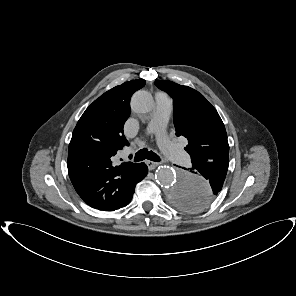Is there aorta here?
Here are the masks:
<instances>
[{
    "instance_id": "obj_1",
    "label": "aorta",
    "mask_w": 296,
    "mask_h": 296,
    "mask_svg": "<svg viewBox=\"0 0 296 296\" xmlns=\"http://www.w3.org/2000/svg\"><path fill=\"white\" fill-rule=\"evenodd\" d=\"M131 107L136 113L148 114L154 108L153 97L147 91H137L132 96ZM155 176L168 200L187 212H202L213 201V186L200 173L190 172L184 168L171 169L161 166L156 170Z\"/></svg>"
}]
</instances>
